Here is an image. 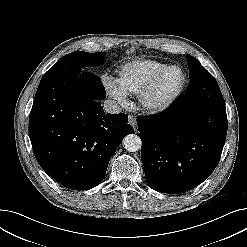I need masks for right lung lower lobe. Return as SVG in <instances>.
<instances>
[{"label": "right lung lower lobe", "instance_id": "1", "mask_svg": "<svg viewBox=\"0 0 247 247\" xmlns=\"http://www.w3.org/2000/svg\"><path fill=\"white\" fill-rule=\"evenodd\" d=\"M100 79L70 69L43 76L29 117V135L37 162L63 186L86 190L104 178L108 163L127 134L126 114L103 111Z\"/></svg>", "mask_w": 247, "mask_h": 247}]
</instances>
